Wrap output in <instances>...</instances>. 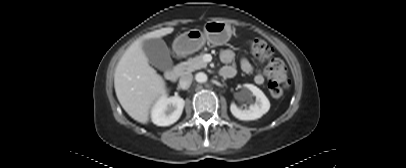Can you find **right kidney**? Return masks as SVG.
<instances>
[{
    "label": "right kidney",
    "instance_id": "right-kidney-1",
    "mask_svg": "<svg viewBox=\"0 0 406 168\" xmlns=\"http://www.w3.org/2000/svg\"><path fill=\"white\" fill-rule=\"evenodd\" d=\"M185 101L178 96H162L151 111V119L157 126H169L174 124L181 116Z\"/></svg>",
    "mask_w": 406,
    "mask_h": 168
}]
</instances>
